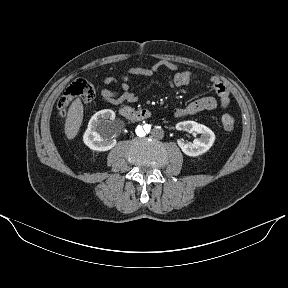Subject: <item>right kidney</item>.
Masks as SVG:
<instances>
[{
	"label": "right kidney",
	"mask_w": 288,
	"mask_h": 288,
	"mask_svg": "<svg viewBox=\"0 0 288 288\" xmlns=\"http://www.w3.org/2000/svg\"><path fill=\"white\" fill-rule=\"evenodd\" d=\"M115 119L112 110H101L95 113L84 133L83 141L94 151H108L116 145V140L106 130V124Z\"/></svg>",
	"instance_id": "ca27d5eb"
}]
</instances>
